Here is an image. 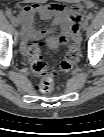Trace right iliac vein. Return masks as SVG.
Returning <instances> with one entry per match:
<instances>
[{
  "mask_svg": "<svg viewBox=\"0 0 104 137\" xmlns=\"http://www.w3.org/2000/svg\"><path fill=\"white\" fill-rule=\"evenodd\" d=\"M11 22H12V24H13L15 27H18V26H19V21H18V19H17L15 16H12V17H11Z\"/></svg>",
  "mask_w": 104,
  "mask_h": 137,
  "instance_id": "63e3f726",
  "label": "right iliac vein"
}]
</instances>
